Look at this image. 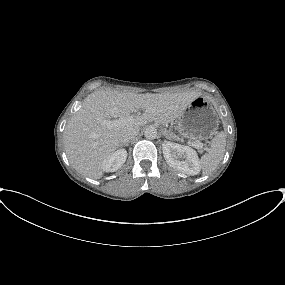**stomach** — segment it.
<instances>
[{"mask_svg": "<svg viewBox=\"0 0 285 285\" xmlns=\"http://www.w3.org/2000/svg\"><path fill=\"white\" fill-rule=\"evenodd\" d=\"M176 122L177 130L183 137L206 140L216 133L219 117L213 105L200 96L185 108Z\"/></svg>", "mask_w": 285, "mask_h": 285, "instance_id": "1", "label": "stomach"}]
</instances>
